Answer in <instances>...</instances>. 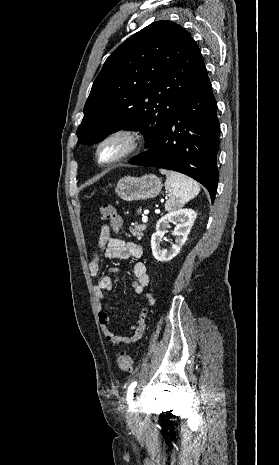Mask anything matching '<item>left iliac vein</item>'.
I'll return each mask as SVG.
<instances>
[{
	"instance_id": "4c4485c4",
	"label": "left iliac vein",
	"mask_w": 279,
	"mask_h": 465,
	"mask_svg": "<svg viewBox=\"0 0 279 465\" xmlns=\"http://www.w3.org/2000/svg\"><path fill=\"white\" fill-rule=\"evenodd\" d=\"M127 419H128V423H129L130 425H132V426L135 425V424H137V423H138V420H139L137 412H136L135 410H133V409L131 408V406H130V408H129V410H128Z\"/></svg>"
}]
</instances>
